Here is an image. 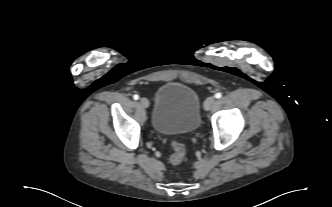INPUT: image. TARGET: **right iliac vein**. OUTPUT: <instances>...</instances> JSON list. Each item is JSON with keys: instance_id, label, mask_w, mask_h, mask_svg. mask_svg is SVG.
<instances>
[{"instance_id": "63e3f726", "label": "right iliac vein", "mask_w": 332, "mask_h": 207, "mask_svg": "<svg viewBox=\"0 0 332 207\" xmlns=\"http://www.w3.org/2000/svg\"><path fill=\"white\" fill-rule=\"evenodd\" d=\"M140 104H141V106L144 107V108L149 107V101H148V99H146V98H141V99H140Z\"/></svg>"}]
</instances>
